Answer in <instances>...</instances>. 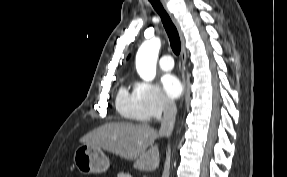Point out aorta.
<instances>
[{"label": "aorta", "mask_w": 287, "mask_h": 177, "mask_svg": "<svg viewBox=\"0 0 287 177\" xmlns=\"http://www.w3.org/2000/svg\"><path fill=\"white\" fill-rule=\"evenodd\" d=\"M161 47L159 38L145 41L136 55V69L140 77L152 81L156 75V62Z\"/></svg>", "instance_id": "762f6f07"}]
</instances>
